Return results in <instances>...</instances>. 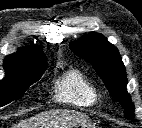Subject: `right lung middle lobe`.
<instances>
[{"label":"right lung middle lobe","instance_id":"dd1d6c3e","mask_svg":"<svg viewBox=\"0 0 142 128\" xmlns=\"http://www.w3.org/2000/svg\"><path fill=\"white\" fill-rule=\"evenodd\" d=\"M46 67V62H40L29 67L15 78L1 80L0 107L21 98L24 92L41 78Z\"/></svg>","mask_w":142,"mask_h":128}]
</instances>
